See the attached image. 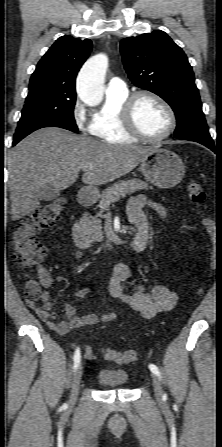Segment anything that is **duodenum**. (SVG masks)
Segmentation results:
<instances>
[{"instance_id":"obj_1","label":"duodenum","mask_w":222,"mask_h":447,"mask_svg":"<svg viewBox=\"0 0 222 447\" xmlns=\"http://www.w3.org/2000/svg\"><path fill=\"white\" fill-rule=\"evenodd\" d=\"M78 201L82 206H90L93 203V196L86 190H81L78 195ZM72 234L75 243L80 248L86 249L93 245V240L85 227L83 218H77L72 225ZM109 249H114L115 244H108Z\"/></svg>"}]
</instances>
